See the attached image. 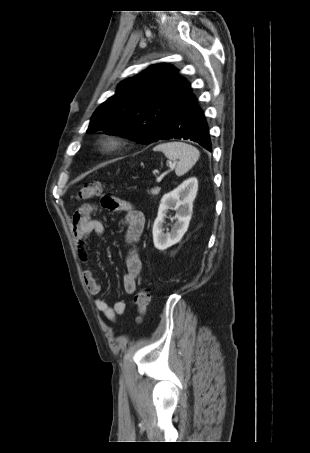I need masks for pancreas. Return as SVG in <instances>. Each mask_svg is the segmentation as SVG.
I'll return each instance as SVG.
<instances>
[{
  "label": "pancreas",
  "instance_id": "cf45deb5",
  "mask_svg": "<svg viewBox=\"0 0 310 453\" xmlns=\"http://www.w3.org/2000/svg\"><path fill=\"white\" fill-rule=\"evenodd\" d=\"M159 192H160V188L159 187H155V188L151 189L150 191H148V193L153 195V196L158 195Z\"/></svg>",
  "mask_w": 310,
  "mask_h": 453
}]
</instances>
